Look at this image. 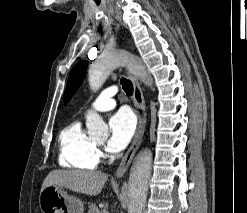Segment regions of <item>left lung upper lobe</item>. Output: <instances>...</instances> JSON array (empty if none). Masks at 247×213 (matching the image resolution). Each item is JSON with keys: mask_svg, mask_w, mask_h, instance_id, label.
I'll return each instance as SVG.
<instances>
[{"mask_svg": "<svg viewBox=\"0 0 247 213\" xmlns=\"http://www.w3.org/2000/svg\"><path fill=\"white\" fill-rule=\"evenodd\" d=\"M87 65V61H81L73 67L69 75L68 83L64 93V104H66L70 100L72 95L77 91V89L81 85L82 80L85 76Z\"/></svg>", "mask_w": 247, "mask_h": 213, "instance_id": "1", "label": "left lung upper lobe"}]
</instances>
